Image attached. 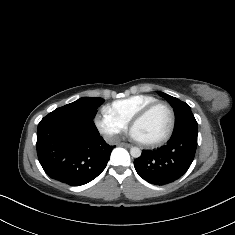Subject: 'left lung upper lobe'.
<instances>
[{
	"label": "left lung upper lobe",
	"instance_id": "left-lung-upper-lobe-1",
	"mask_svg": "<svg viewBox=\"0 0 235 235\" xmlns=\"http://www.w3.org/2000/svg\"><path fill=\"white\" fill-rule=\"evenodd\" d=\"M174 108L176 113L175 128L172 136L180 134H191L197 136V121L191 111L190 106L168 94L159 92Z\"/></svg>",
	"mask_w": 235,
	"mask_h": 235
}]
</instances>
